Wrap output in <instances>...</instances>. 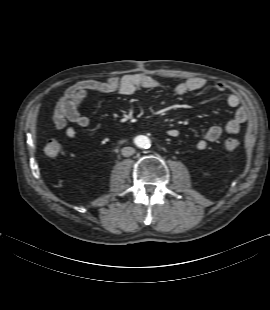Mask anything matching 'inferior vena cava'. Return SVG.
<instances>
[{
	"mask_svg": "<svg viewBox=\"0 0 270 310\" xmlns=\"http://www.w3.org/2000/svg\"><path fill=\"white\" fill-rule=\"evenodd\" d=\"M135 153V149L132 147H124L122 148V155L124 157H129Z\"/></svg>",
	"mask_w": 270,
	"mask_h": 310,
	"instance_id": "602c4592",
	"label": "inferior vena cava"
}]
</instances>
